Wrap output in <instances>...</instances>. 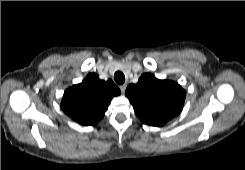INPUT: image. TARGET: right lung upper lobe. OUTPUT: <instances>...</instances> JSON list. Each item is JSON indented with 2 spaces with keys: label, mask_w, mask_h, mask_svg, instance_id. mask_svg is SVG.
<instances>
[{
  "label": "right lung upper lobe",
  "mask_w": 245,
  "mask_h": 170,
  "mask_svg": "<svg viewBox=\"0 0 245 170\" xmlns=\"http://www.w3.org/2000/svg\"><path fill=\"white\" fill-rule=\"evenodd\" d=\"M120 95L112 80L88 74L81 83L68 88L61 102L63 111L81 125H93L103 118L111 99Z\"/></svg>",
  "instance_id": "right-lung-upper-lobe-1"
}]
</instances>
